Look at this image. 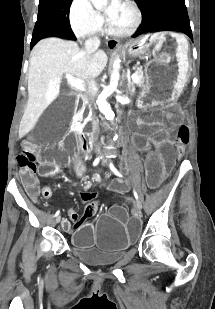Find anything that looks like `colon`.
I'll return each mask as SVG.
<instances>
[{"mask_svg": "<svg viewBox=\"0 0 215 309\" xmlns=\"http://www.w3.org/2000/svg\"><path fill=\"white\" fill-rule=\"evenodd\" d=\"M176 140L185 145L189 141V131L185 125H180L176 135ZM41 153L39 154V156ZM38 154L35 152H23L18 155V163L24 171L34 170L36 167V162L38 159ZM42 174L54 173L56 171L55 161L51 160L49 157H43L41 160V165L39 167ZM42 195L44 198H50L52 195V190L49 186L43 188ZM90 202L85 206L84 215L86 217L92 218L98 212V203L96 201V196L91 194Z\"/></svg>", "mask_w": 215, "mask_h": 309, "instance_id": "colon-1", "label": "colon"}]
</instances>
